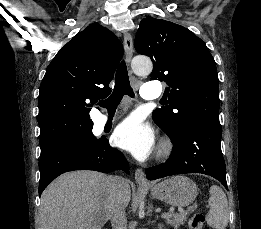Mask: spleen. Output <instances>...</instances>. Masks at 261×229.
I'll return each instance as SVG.
<instances>
[{"label": "spleen", "instance_id": "3e777b00", "mask_svg": "<svg viewBox=\"0 0 261 229\" xmlns=\"http://www.w3.org/2000/svg\"><path fill=\"white\" fill-rule=\"evenodd\" d=\"M209 193L210 211L206 217L207 225L212 229H226L229 219L227 197L217 185L210 187Z\"/></svg>", "mask_w": 261, "mask_h": 229}]
</instances>
